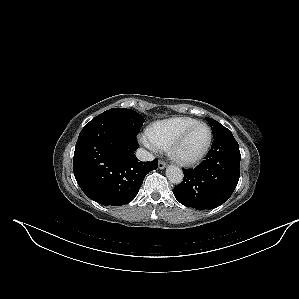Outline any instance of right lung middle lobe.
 <instances>
[{
	"mask_svg": "<svg viewBox=\"0 0 299 299\" xmlns=\"http://www.w3.org/2000/svg\"><path fill=\"white\" fill-rule=\"evenodd\" d=\"M97 117L113 119L129 128L133 133L138 134L145 122L144 118L137 112L125 108L109 109Z\"/></svg>",
	"mask_w": 299,
	"mask_h": 299,
	"instance_id": "dd1d6c3e",
	"label": "right lung middle lobe"
}]
</instances>
